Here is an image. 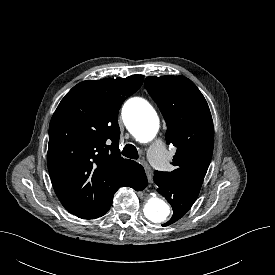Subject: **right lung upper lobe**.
I'll use <instances>...</instances> for the list:
<instances>
[{"mask_svg": "<svg viewBox=\"0 0 275 275\" xmlns=\"http://www.w3.org/2000/svg\"><path fill=\"white\" fill-rule=\"evenodd\" d=\"M143 75L83 81L62 99L49 125L48 169L63 206L94 219L138 165L120 156L118 111Z\"/></svg>", "mask_w": 275, "mask_h": 275, "instance_id": "1", "label": "right lung upper lobe"}]
</instances>
